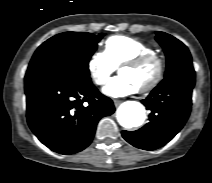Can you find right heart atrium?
I'll list each match as a JSON object with an SVG mask.
<instances>
[{
    "label": "right heart atrium",
    "mask_w": 212,
    "mask_h": 183,
    "mask_svg": "<svg viewBox=\"0 0 212 183\" xmlns=\"http://www.w3.org/2000/svg\"><path fill=\"white\" fill-rule=\"evenodd\" d=\"M92 81L99 86L109 82L116 67L104 51L94 53L87 64Z\"/></svg>",
    "instance_id": "right-heart-atrium-1"
}]
</instances>
